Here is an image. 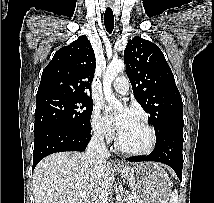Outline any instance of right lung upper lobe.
<instances>
[{
  "label": "right lung upper lobe",
  "mask_w": 214,
  "mask_h": 203,
  "mask_svg": "<svg viewBox=\"0 0 214 203\" xmlns=\"http://www.w3.org/2000/svg\"><path fill=\"white\" fill-rule=\"evenodd\" d=\"M96 62L85 35L60 48L43 70L37 98L53 94L86 96L91 87Z\"/></svg>",
  "instance_id": "right-lung-upper-lobe-1"
}]
</instances>
